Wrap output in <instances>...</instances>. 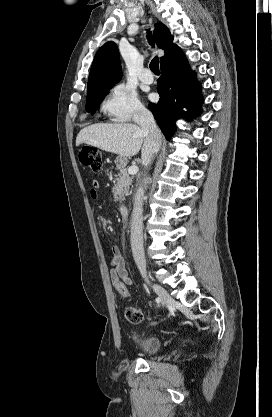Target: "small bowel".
<instances>
[{"label":"small bowel","instance_id":"obj_1","mask_svg":"<svg viewBox=\"0 0 272 417\" xmlns=\"http://www.w3.org/2000/svg\"><path fill=\"white\" fill-rule=\"evenodd\" d=\"M98 190H99V183L97 181H93L91 190H90V197L93 200L98 198ZM112 259L111 265L113 269L110 271V276L112 283L116 280L122 281L126 286H130L133 284V280L129 276V272L127 269L126 261L123 258L120 248L118 246L111 247Z\"/></svg>","mask_w":272,"mask_h":417}]
</instances>
